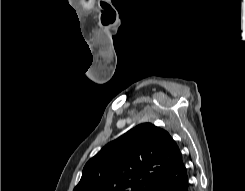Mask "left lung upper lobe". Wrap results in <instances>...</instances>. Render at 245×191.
<instances>
[{
	"label": "left lung upper lobe",
	"instance_id": "1",
	"mask_svg": "<svg viewBox=\"0 0 245 191\" xmlns=\"http://www.w3.org/2000/svg\"><path fill=\"white\" fill-rule=\"evenodd\" d=\"M180 155L166 130L139 124L86 163L73 191H153Z\"/></svg>",
	"mask_w": 245,
	"mask_h": 191
}]
</instances>
